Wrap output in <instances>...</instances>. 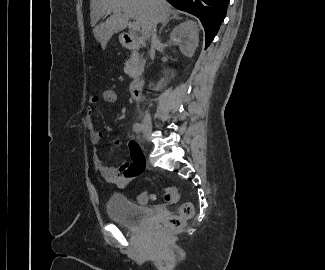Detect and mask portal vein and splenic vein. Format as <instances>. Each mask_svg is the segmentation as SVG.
<instances>
[{
  "label": "portal vein and splenic vein",
  "instance_id": "18ae733b",
  "mask_svg": "<svg viewBox=\"0 0 325 270\" xmlns=\"http://www.w3.org/2000/svg\"><path fill=\"white\" fill-rule=\"evenodd\" d=\"M129 18V17H128ZM131 28L134 30V31H139L140 30V25L137 21H133L131 23Z\"/></svg>",
  "mask_w": 325,
  "mask_h": 270
}]
</instances>
